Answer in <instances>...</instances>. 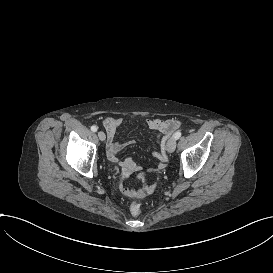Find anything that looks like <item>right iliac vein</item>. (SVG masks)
<instances>
[{
	"label": "right iliac vein",
	"instance_id": "right-iliac-vein-1",
	"mask_svg": "<svg viewBox=\"0 0 273 273\" xmlns=\"http://www.w3.org/2000/svg\"><path fill=\"white\" fill-rule=\"evenodd\" d=\"M98 137H99V139H100L101 141H104L105 138H106L104 132H102V131H99V132H98Z\"/></svg>",
	"mask_w": 273,
	"mask_h": 273
}]
</instances>
